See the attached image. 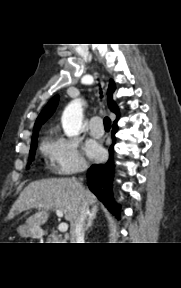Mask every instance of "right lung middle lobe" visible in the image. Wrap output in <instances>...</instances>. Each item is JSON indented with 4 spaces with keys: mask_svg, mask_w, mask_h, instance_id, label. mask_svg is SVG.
Segmentation results:
<instances>
[{
    "mask_svg": "<svg viewBox=\"0 0 181 288\" xmlns=\"http://www.w3.org/2000/svg\"><path fill=\"white\" fill-rule=\"evenodd\" d=\"M36 147H37V140L32 141L31 149H30V159H29V163L28 164H30L31 160L34 159ZM27 168H29V167H27Z\"/></svg>",
    "mask_w": 181,
    "mask_h": 288,
    "instance_id": "dd1d6c3e",
    "label": "right lung middle lobe"
}]
</instances>
